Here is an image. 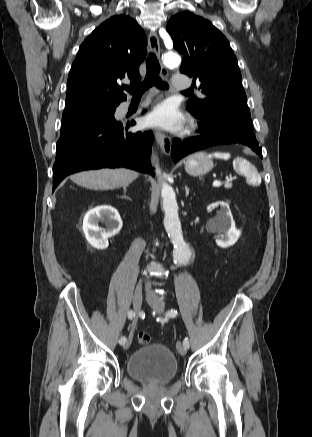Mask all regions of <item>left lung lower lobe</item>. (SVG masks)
I'll list each match as a JSON object with an SVG mask.
<instances>
[{
    "label": "left lung lower lobe",
    "instance_id": "1",
    "mask_svg": "<svg viewBox=\"0 0 312 437\" xmlns=\"http://www.w3.org/2000/svg\"><path fill=\"white\" fill-rule=\"evenodd\" d=\"M203 134L194 138L180 141L175 139L172 144L171 156L177 162L182 157L195 151L218 144L238 143L250 147L262 158V150L257 140H247L235 134L231 128L221 124L205 122L201 127Z\"/></svg>",
    "mask_w": 312,
    "mask_h": 437
}]
</instances>
